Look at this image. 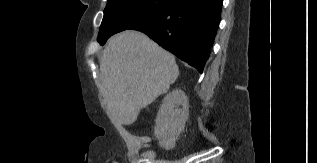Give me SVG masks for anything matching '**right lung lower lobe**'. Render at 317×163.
<instances>
[{"label":"right lung lower lobe","mask_w":317,"mask_h":163,"mask_svg":"<svg viewBox=\"0 0 317 163\" xmlns=\"http://www.w3.org/2000/svg\"><path fill=\"white\" fill-rule=\"evenodd\" d=\"M223 0H170L159 12L130 27L203 72L220 22Z\"/></svg>","instance_id":"right-lung-lower-lobe-1"}]
</instances>
